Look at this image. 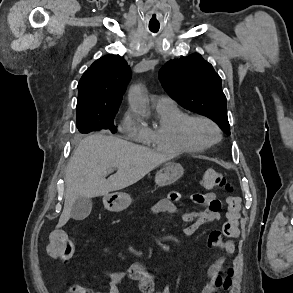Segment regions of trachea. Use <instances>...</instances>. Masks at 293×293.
<instances>
[{
  "label": "trachea",
  "instance_id": "obj_1",
  "mask_svg": "<svg viewBox=\"0 0 293 293\" xmlns=\"http://www.w3.org/2000/svg\"><path fill=\"white\" fill-rule=\"evenodd\" d=\"M151 32L156 33L158 32V29H150Z\"/></svg>",
  "mask_w": 293,
  "mask_h": 293
}]
</instances>
